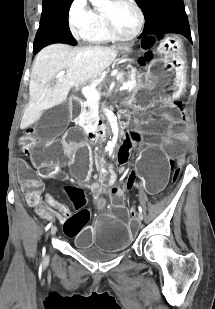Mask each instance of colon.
<instances>
[{
  "instance_id": "5ec220e1",
  "label": "colon",
  "mask_w": 215,
  "mask_h": 309,
  "mask_svg": "<svg viewBox=\"0 0 215 309\" xmlns=\"http://www.w3.org/2000/svg\"><path fill=\"white\" fill-rule=\"evenodd\" d=\"M42 159H44L43 163L41 164L43 171H52L54 166L57 165V161L51 157V156H43ZM50 196L47 195V199H49ZM77 220L80 222H85L87 220V216L83 213L78 214Z\"/></svg>"
}]
</instances>
